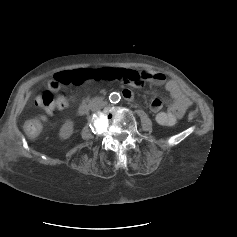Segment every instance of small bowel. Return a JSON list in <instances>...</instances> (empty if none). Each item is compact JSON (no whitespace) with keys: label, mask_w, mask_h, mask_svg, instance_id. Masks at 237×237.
Returning <instances> with one entry per match:
<instances>
[{"label":"small bowel","mask_w":237,"mask_h":237,"mask_svg":"<svg viewBox=\"0 0 237 237\" xmlns=\"http://www.w3.org/2000/svg\"><path fill=\"white\" fill-rule=\"evenodd\" d=\"M142 73L144 80H147L155 85H162L165 83V88L170 94L169 99L163 96H156L150 103V110L153 113H159L162 107L167 105V112L171 114L175 120L181 118L190 106V101L180 90L177 83L173 80L165 82V75L160 72L142 70ZM73 99H75V96L65 98V105L67 106Z\"/></svg>","instance_id":"small-bowel-1"}]
</instances>
